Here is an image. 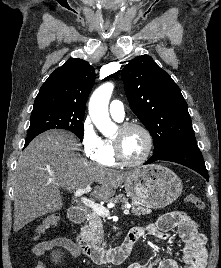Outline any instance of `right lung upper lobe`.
Returning a JSON list of instances; mask_svg holds the SVG:
<instances>
[{
  "instance_id": "right-lung-upper-lobe-1",
  "label": "right lung upper lobe",
  "mask_w": 221,
  "mask_h": 268,
  "mask_svg": "<svg viewBox=\"0 0 221 268\" xmlns=\"http://www.w3.org/2000/svg\"><path fill=\"white\" fill-rule=\"evenodd\" d=\"M94 67L79 58H70L41 86L33 111L62 109L85 114V105L94 85Z\"/></svg>"
}]
</instances>
